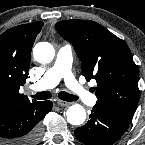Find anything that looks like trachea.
<instances>
[{
    "label": "trachea",
    "instance_id": "obj_1",
    "mask_svg": "<svg viewBox=\"0 0 145 145\" xmlns=\"http://www.w3.org/2000/svg\"><path fill=\"white\" fill-rule=\"evenodd\" d=\"M31 97L37 99V100H46L52 97L51 92L44 91V92H38L35 95H31ZM58 98L64 100V101H76L78 98L74 95H71L67 92L61 91L58 93Z\"/></svg>",
    "mask_w": 145,
    "mask_h": 145
}]
</instances>
